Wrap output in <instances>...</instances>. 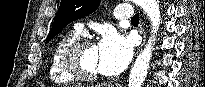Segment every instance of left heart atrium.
I'll list each match as a JSON object with an SVG mask.
<instances>
[{
	"label": "left heart atrium",
	"instance_id": "obj_1",
	"mask_svg": "<svg viewBox=\"0 0 205 87\" xmlns=\"http://www.w3.org/2000/svg\"><path fill=\"white\" fill-rule=\"evenodd\" d=\"M99 72L116 75L129 64L132 54V42L115 31H108L96 46Z\"/></svg>",
	"mask_w": 205,
	"mask_h": 87
}]
</instances>
